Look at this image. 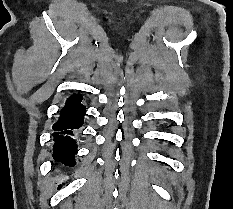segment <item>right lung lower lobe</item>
<instances>
[{
    "mask_svg": "<svg viewBox=\"0 0 233 209\" xmlns=\"http://www.w3.org/2000/svg\"><path fill=\"white\" fill-rule=\"evenodd\" d=\"M81 100L82 97L79 94L70 96L61 111L59 120L53 125V129L56 131L53 133V157L66 166L75 164L74 155L77 152L75 138L78 134L77 129L83 125L86 112Z\"/></svg>",
    "mask_w": 233,
    "mask_h": 209,
    "instance_id": "right-lung-lower-lobe-1",
    "label": "right lung lower lobe"
}]
</instances>
